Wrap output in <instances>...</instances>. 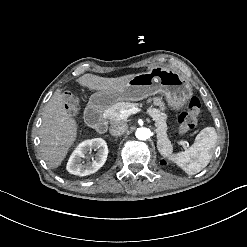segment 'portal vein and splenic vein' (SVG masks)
<instances>
[{"instance_id": "18ae733b", "label": "portal vein and splenic vein", "mask_w": 247, "mask_h": 247, "mask_svg": "<svg viewBox=\"0 0 247 247\" xmlns=\"http://www.w3.org/2000/svg\"><path fill=\"white\" fill-rule=\"evenodd\" d=\"M141 109L137 108V107H132L130 109H124L120 111V119H127L131 114H136L138 112H140ZM178 144L181 145L182 148H186L188 145V142H186L185 140H179Z\"/></svg>"}]
</instances>
